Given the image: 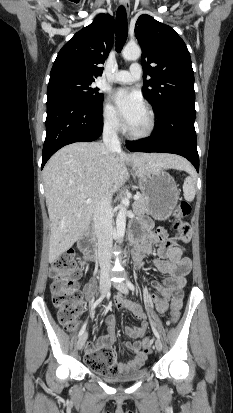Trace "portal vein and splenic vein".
I'll return each mask as SVG.
<instances>
[{
    "label": "portal vein and splenic vein",
    "mask_w": 233,
    "mask_h": 413,
    "mask_svg": "<svg viewBox=\"0 0 233 413\" xmlns=\"http://www.w3.org/2000/svg\"><path fill=\"white\" fill-rule=\"evenodd\" d=\"M139 198V195H134V200H137ZM91 202V199H88L87 200V203H90Z\"/></svg>",
    "instance_id": "portal-vein-and-splenic-vein-1"
}]
</instances>
